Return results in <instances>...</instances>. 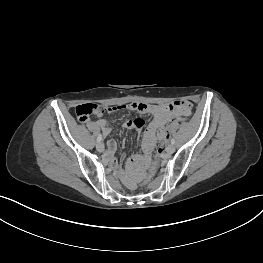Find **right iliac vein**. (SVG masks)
Masks as SVG:
<instances>
[{"label":"right iliac vein","mask_w":263,"mask_h":263,"mask_svg":"<svg viewBox=\"0 0 263 263\" xmlns=\"http://www.w3.org/2000/svg\"><path fill=\"white\" fill-rule=\"evenodd\" d=\"M96 149L99 151V152H103L104 151V144L102 142H97L96 144Z\"/></svg>","instance_id":"63e3f726"}]
</instances>
